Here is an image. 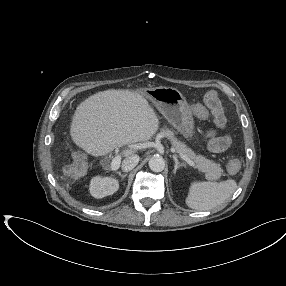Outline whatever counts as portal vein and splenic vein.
Wrapping results in <instances>:
<instances>
[{"instance_id": "18ae733b", "label": "portal vein and splenic vein", "mask_w": 286, "mask_h": 286, "mask_svg": "<svg viewBox=\"0 0 286 286\" xmlns=\"http://www.w3.org/2000/svg\"><path fill=\"white\" fill-rule=\"evenodd\" d=\"M180 157L185 160L189 165L191 166H195V163L190 159L188 158L186 155L182 154V153H179ZM120 162H121V156L118 155L116 156L113 160H112V163H111V167H112V170H116L118 169L119 165H120Z\"/></svg>"}]
</instances>
